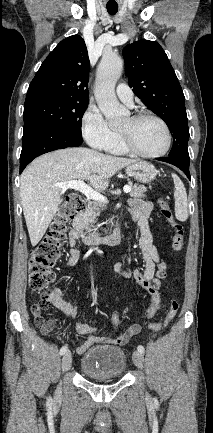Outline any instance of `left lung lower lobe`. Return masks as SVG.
<instances>
[{
  "label": "left lung lower lobe",
  "mask_w": 213,
  "mask_h": 433,
  "mask_svg": "<svg viewBox=\"0 0 213 433\" xmlns=\"http://www.w3.org/2000/svg\"><path fill=\"white\" fill-rule=\"evenodd\" d=\"M159 161H163V162H167L170 163L176 167H178L179 169H181L186 176L191 179L190 177V173H189V161H184L178 158H173V157H165V158H156Z\"/></svg>",
  "instance_id": "obj_1"
}]
</instances>
